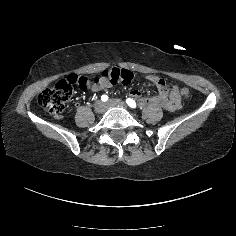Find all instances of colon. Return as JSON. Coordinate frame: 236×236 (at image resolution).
I'll return each instance as SVG.
<instances>
[{
  "label": "colon",
  "mask_w": 236,
  "mask_h": 236,
  "mask_svg": "<svg viewBox=\"0 0 236 236\" xmlns=\"http://www.w3.org/2000/svg\"><path fill=\"white\" fill-rule=\"evenodd\" d=\"M134 79L135 74L132 71L118 68L106 70L100 76L93 78L88 75L72 74L58 81L54 87L43 90L38 95V104L51 115L61 117L75 88L87 90L102 81H107L110 84H129ZM178 93L185 99L191 97V91L188 88H179Z\"/></svg>",
  "instance_id": "colon-1"
}]
</instances>
